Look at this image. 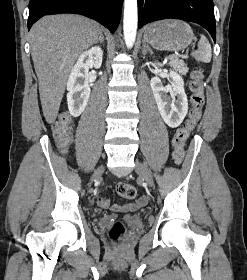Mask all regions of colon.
Listing matches in <instances>:
<instances>
[{
    "mask_svg": "<svg viewBox=\"0 0 247 280\" xmlns=\"http://www.w3.org/2000/svg\"><path fill=\"white\" fill-rule=\"evenodd\" d=\"M191 91V108L188 118L183 126L177 129L172 139V157L176 164H181L184 160L185 142L189 138L192 131L197 126L205 104L204 96V75L201 68L195 69L191 74L189 83ZM53 133L56 143L61 149L67 148L72 140V118L67 112H62L53 127ZM117 193L125 199H133L137 195L135 186L129 183H119L117 185ZM100 204L103 205L104 201L101 200ZM110 239L118 244L123 242L125 237L124 225L117 221L109 230Z\"/></svg>",
    "mask_w": 247,
    "mask_h": 280,
    "instance_id": "obj_1",
    "label": "colon"
}]
</instances>
